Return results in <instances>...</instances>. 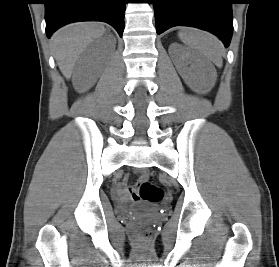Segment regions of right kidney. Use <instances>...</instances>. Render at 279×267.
Instances as JSON below:
<instances>
[{
	"label": "right kidney",
	"mask_w": 279,
	"mask_h": 267,
	"mask_svg": "<svg viewBox=\"0 0 279 267\" xmlns=\"http://www.w3.org/2000/svg\"><path fill=\"white\" fill-rule=\"evenodd\" d=\"M112 43H115L114 39H111ZM97 49L95 47H91L87 50V55H84L79 63V71L83 75V81L80 84L79 91L83 92L86 89V77L90 71L91 65L93 63V58L96 56Z\"/></svg>",
	"instance_id": "obj_1"
}]
</instances>
